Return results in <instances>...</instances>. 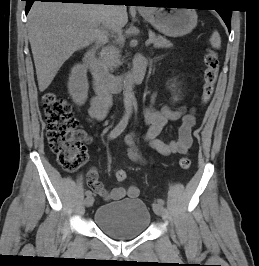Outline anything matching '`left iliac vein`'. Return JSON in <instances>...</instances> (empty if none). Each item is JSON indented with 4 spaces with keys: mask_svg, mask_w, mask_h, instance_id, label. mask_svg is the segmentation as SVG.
Masks as SVG:
<instances>
[{
    "mask_svg": "<svg viewBox=\"0 0 259 266\" xmlns=\"http://www.w3.org/2000/svg\"><path fill=\"white\" fill-rule=\"evenodd\" d=\"M153 210L155 212V214L161 216L164 213V208L163 205L159 204V203H155L153 204Z\"/></svg>",
    "mask_w": 259,
    "mask_h": 266,
    "instance_id": "4c4485c4",
    "label": "left iliac vein"
}]
</instances>
